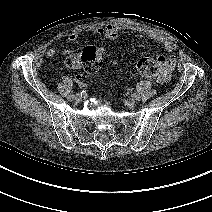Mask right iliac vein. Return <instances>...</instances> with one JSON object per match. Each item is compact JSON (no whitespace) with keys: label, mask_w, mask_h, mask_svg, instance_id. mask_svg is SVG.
<instances>
[{"label":"right iliac vein","mask_w":212,"mask_h":212,"mask_svg":"<svg viewBox=\"0 0 212 212\" xmlns=\"http://www.w3.org/2000/svg\"><path fill=\"white\" fill-rule=\"evenodd\" d=\"M81 99H82V95H80V94H76V96L74 97V100H75L76 102L81 101Z\"/></svg>","instance_id":"63e3f726"}]
</instances>
